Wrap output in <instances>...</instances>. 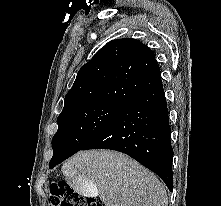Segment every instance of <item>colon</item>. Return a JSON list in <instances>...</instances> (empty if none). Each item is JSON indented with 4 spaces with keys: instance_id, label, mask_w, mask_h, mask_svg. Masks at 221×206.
I'll use <instances>...</instances> for the list:
<instances>
[{
    "instance_id": "1",
    "label": "colon",
    "mask_w": 221,
    "mask_h": 206,
    "mask_svg": "<svg viewBox=\"0 0 221 206\" xmlns=\"http://www.w3.org/2000/svg\"><path fill=\"white\" fill-rule=\"evenodd\" d=\"M49 206H102L90 198H80L65 181L52 183L49 187Z\"/></svg>"
}]
</instances>
